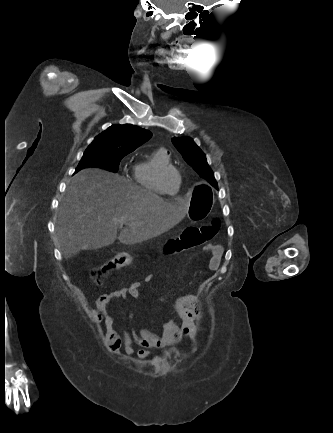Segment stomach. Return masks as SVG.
<instances>
[{
	"label": "stomach",
	"instance_id": "1",
	"mask_svg": "<svg viewBox=\"0 0 333 433\" xmlns=\"http://www.w3.org/2000/svg\"><path fill=\"white\" fill-rule=\"evenodd\" d=\"M213 187L207 183H198L192 191L189 218L198 222L206 218L214 206Z\"/></svg>",
	"mask_w": 333,
	"mask_h": 433
}]
</instances>
